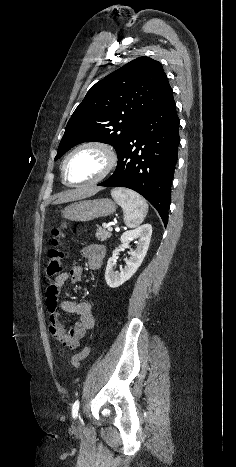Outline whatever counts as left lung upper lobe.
<instances>
[{"instance_id": "obj_1", "label": "left lung upper lobe", "mask_w": 236, "mask_h": 467, "mask_svg": "<svg viewBox=\"0 0 236 467\" xmlns=\"http://www.w3.org/2000/svg\"><path fill=\"white\" fill-rule=\"evenodd\" d=\"M171 89L162 65L139 57L93 85L67 123L55 160L73 146L97 141L117 154L130 132Z\"/></svg>"}]
</instances>
